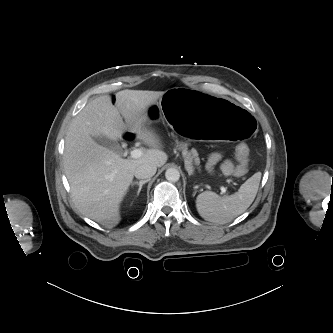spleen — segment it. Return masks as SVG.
<instances>
[{"label":"spleen","mask_w":333,"mask_h":333,"mask_svg":"<svg viewBox=\"0 0 333 333\" xmlns=\"http://www.w3.org/2000/svg\"><path fill=\"white\" fill-rule=\"evenodd\" d=\"M261 173L257 172L246 180L239 190L229 196L220 197L214 192L205 191L196 198L199 215L206 221L225 224L241 215L254 201Z\"/></svg>","instance_id":"1"}]
</instances>
